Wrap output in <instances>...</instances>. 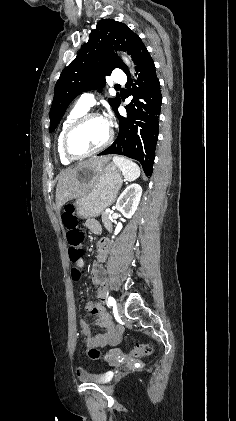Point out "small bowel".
Listing matches in <instances>:
<instances>
[{
    "instance_id": "c3829d8e",
    "label": "small bowel",
    "mask_w": 236,
    "mask_h": 421,
    "mask_svg": "<svg viewBox=\"0 0 236 421\" xmlns=\"http://www.w3.org/2000/svg\"><path fill=\"white\" fill-rule=\"evenodd\" d=\"M87 227L94 233H100L101 232V226L100 224L94 220V219H89L86 222ZM102 317H104V319L107 321V339L101 343V345H106L110 339L117 333H121V330L116 329L113 324L111 323V321H109L108 316L105 312L102 311L101 313ZM85 324V322H81V325ZM80 374V370L79 373Z\"/></svg>"
}]
</instances>
